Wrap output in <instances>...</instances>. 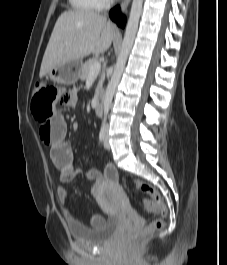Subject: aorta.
<instances>
[{
	"instance_id": "1",
	"label": "aorta",
	"mask_w": 227,
	"mask_h": 265,
	"mask_svg": "<svg viewBox=\"0 0 227 265\" xmlns=\"http://www.w3.org/2000/svg\"><path fill=\"white\" fill-rule=\"evenodd\" d=\"M142 5H143V0H133L132 2L130 15H129V19H128L127 26L125 29L124 39L122 42L121 51L117 58L114 72L108 83L105 96H104V101H103L104 122L107 119V115L109 113V110L112 104V100H113L116 87L120 81L121 75L125 68L128 55L132 49V46L135 40V36L138 30L139 19L142 13Z\"/></svg>"
}]
</instances>
